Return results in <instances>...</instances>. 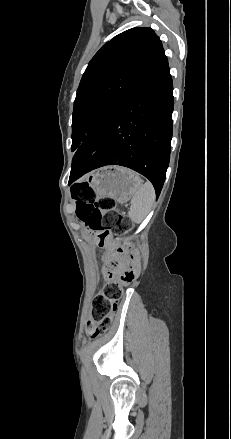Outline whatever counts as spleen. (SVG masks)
Segmentation results:
<instances>
[{"mask_svg": "<svg viewBox=\"0 0 231 439\" xmlns=\"http://www.w3.org/2000/svg\"><path fill=\"white\" fill-rule=\"evenodd\" d=\"M155 200L153 185L147 181L131 199L128 216L132 222L140 223L147 216Z\"/></svg>", "mask_w": 231, "mask_h": 439, "instance_id": "obj_1", "label": "spleen"}]
</instances>
